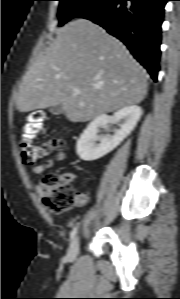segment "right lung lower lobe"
Masks as SVG:
<instances>
[{
    "instance_id": "obj_1",
    "label": "right lung lower lobe",
    "mask_w": 180,
    "mask_h": 299,
    "mask_svg": "<svg viewBox=\"0 0 180 299\" xmlns=\"http://www.w3.org/2000/svg\"><path fill=\"white\" fill-rule=\"evenodd\" d=\"M168 0H103L80 18L91 20L120 39L157 81L161 24Z\"/></svg>"
}]
</instances>
